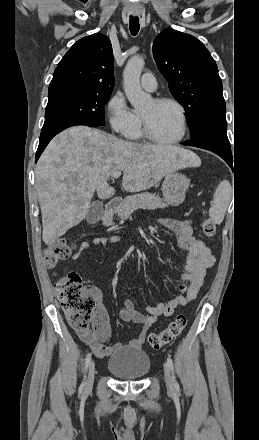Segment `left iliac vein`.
<instances>
[{
    "instance_id": "4c4485c4",
    "label": "left iliac vein",
    "mask_w": 259,
    "mask_h": 440,
    "mask_svg": "<svg viewBox=\"0 0 259 440\" xmlns=\"http://www.w3.org/2000/svg\"><path fill=\"white\" fill-rule=\"evenodd\" d=\"M164 379H165L167 389L172 390L173 389L172 377H171L169 366L166 363L164 364Z\"/></svg>"
}]
</instances>
